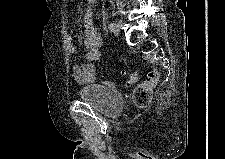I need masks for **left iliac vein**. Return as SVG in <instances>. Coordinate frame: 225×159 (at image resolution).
Listing matches in <instances>:
<instances>
[{
	"label": "left iliac vein",
	"mask_w": 225,
	"mask_h": 159,
	"mask_svg": "<svg viewBox=\"0 0 225 159\" xmlns=\"http://www.w3.org/2000/svg\"><path fill=\"white\" fill-rule=\"evenodd\" d=\"M120 28H121V25L119 23L114 24V28L112 30L113 34L118 36L120 33Z\"/></svg>",
	"instance_id": "1"
}]
</instances>
